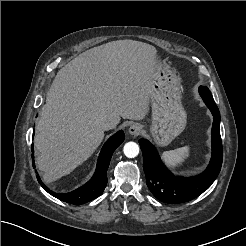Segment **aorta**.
Returning a JSON list of instances; mask_svg holds the SVG:
<instances>
[{
	"label": "aorta",
	"instance_id": "1",
	"mask_svg": "<svg viewBox=\"0 0 246 246\" xmlns=\"http://www.w3.org/2000/svg\"><path fill=\"white\" fill-rule=\"evenodd\" d=\"M123 152L126 157L134 158L139 154V146L135 142H127L124 145Z\"/></svg>",
	"mask_w": 246,
	"mask_h": 246
}]
</instances>
